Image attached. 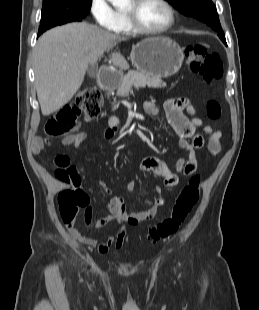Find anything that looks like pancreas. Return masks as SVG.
I'll list each match as a JSON object with an SVG mask.
<instances>
[{
    "mask_svg": "<svg viewBox=\"0 0 259 310\" xmlns=\"http://www.w3.org/2000/svg\"><path fill=\"white\" fill-rule=\"evenodd\" d=\"M160 88L166 87V84L162 82L160 77L151 76L139 71H130L120 81L117 90L118 97H126L130 93L132 88L138 89L141 87ZM110 122H118L117 118H111Z\"/></svg>",
    "mask_w": 259,
    "mask_h": 310,
    "instance_id": "pancreas-1",
    "label": "pancreas"
}]
</instances>
